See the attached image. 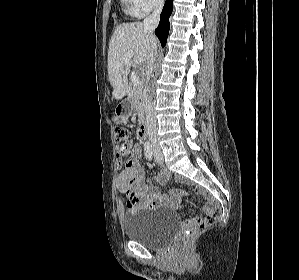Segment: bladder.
<instances>
[{"label": "bladder", "mask_w": 299, "mask_h": 280, "mask_svg": "<svg viewBox=\"0 0 299 280\" xmlns=\"http://www.w3.org/2000/svg\"><path fill=\"white\" fill-rule=\"evenodd\" d=\"M177 225V216L159 207L146 208L123 218L126 237L153 249L164 247L171 240Z\"/></svg>", "instance_id": "obj_1"}]
</instances>
